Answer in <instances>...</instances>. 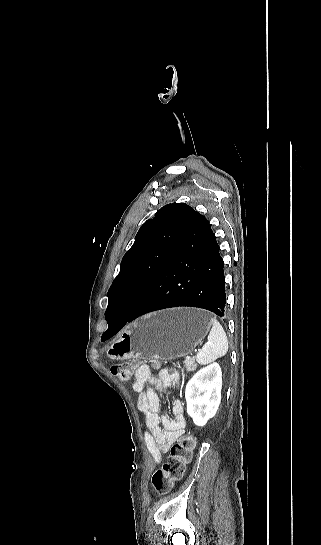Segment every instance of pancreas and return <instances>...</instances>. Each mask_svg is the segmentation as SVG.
<instances>
[{"label": "pancreas", "instance_id": "1", "mask_svg": "<svg viewBox=\"0 0 321 545\" xmlns=\"http://www.w3.org/2000/svg\"><path fill=\"white\" fill-rule=\"evenodd\" d=\"M184 367L186 371H196L197 365L194 357H192V359H186V361H184Z\"/></svg>", "mask_w": 321, "mask_h": 545}]
</instances>
